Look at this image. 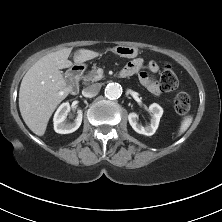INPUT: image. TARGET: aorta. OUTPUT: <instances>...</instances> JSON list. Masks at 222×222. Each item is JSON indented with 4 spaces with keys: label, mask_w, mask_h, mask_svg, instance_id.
<instances>
[{
    "label": "aorta",
    "mask_w": 222,
    "mask_h": 222,
    "mask_svg": "<svg viewBox=\"0 0 222 222\" xmlns=\"http://www.w3.org/2000/svg\"><path fill=\"white\" fill-rule=\"evenodd\" d=\"M122 94V88L118 83H109L105 88V95L110 99H118Z\"/></svg>",
    "instance_id": "762f6f07"
}]
</instances>
